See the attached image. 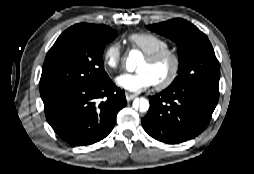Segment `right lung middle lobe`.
<instances>
[{"label":"right lung middle lobe","mask_w":254,"mask_h":174,"mask_svg":"<svg viewBox=\"0 0 254 174\" xmlns=\"http://www.w3.org/2000/svg\"><path fill=\"white\" fill-rule=\"evenodd\" d=\"M117 32L72 26L60 35L45 58L40 94L67 87L95 86L108 79L102 59Z\"/></svg>","instance_id":"1"}]
</instances>
